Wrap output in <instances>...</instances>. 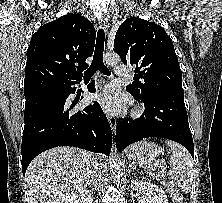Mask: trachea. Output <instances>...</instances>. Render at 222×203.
<instances>
[{"instance_id":"1","label":"trachea","mask_w":222,"mask_h":203,"mask_svg":"<svg viewBox=\"0 0 222 203\" xmlns=\"http://www.w3.org/2000/svg\"><path fill=\"white\" fill-rule=\"evenodd\" d=\"M105 33L103 29H99L97 32L96 46L93 56V61L90 67L84 72V79L89 80L94 73L99 70L104 75H111V72L103 63V51H104Z\"/></svg>"}]
</instances>
